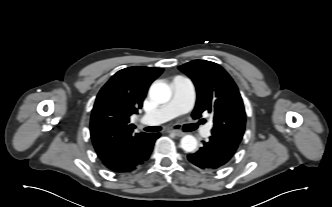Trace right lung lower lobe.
I'll use <instances>...</instances> for the list:
<instances>
[{
	"label": "right lung lower lobe",
	"instance_id": "98d812e1",
	"mask_svg": "<svg viewBox=\"0 0 332 207\" xmlns=\"http://www.w3.org/2000/svg\"><path fill=\"white\" fill-rule=\"evenodd\" d=\"M159 136L158 133L146 134L136 140L126 151L125 155L117 158L105 159L102 160V162L109 170L115 173L131 172L149 158L154 142Z\"/></svg>",
	"mask_w": 332,
	"mask_h": 207
}]
</instances>
